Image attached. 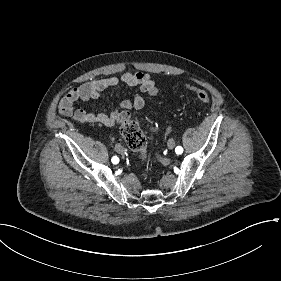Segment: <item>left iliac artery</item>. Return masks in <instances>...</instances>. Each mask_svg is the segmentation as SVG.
Here are the masks:
<instances>
[{
	"mask_svg": "<svg viewBox=\"0 0 281 281\" xmlns=\"http://www.w3.org/2000/svg\"><path fill=\"white\" fill-rule=\"evenodd\" d=\"M175 152H176L177 154H181V153L183 152V148H182L181 146H177V147L175 148Z\"/></svg>",
	"mask_w": 281,
	"mask_h": 281,
	"instance_id": "44dca946",
	"label": "left iliac artery"
}]
</instances>
